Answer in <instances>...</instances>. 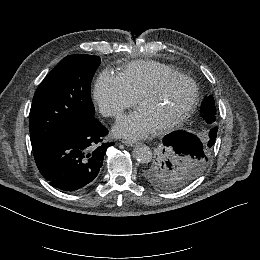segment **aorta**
Instances as JSON below:
<instances>
[{"label":"aorta","instance_id":"aorta-1","mask_svg":"<svg viewBox=\"0 0 260 260\" xmlns=\"http://www.w3.org/2000/svg\"><path fill=\"white\" fill-rule=\"evenodd\" d=\"M133 156L140 163H147L152 158V151L146 145L137 146L133 151Z\"/></svg>","mask_w":260,"mask_h":260}]
</instances>
